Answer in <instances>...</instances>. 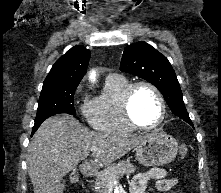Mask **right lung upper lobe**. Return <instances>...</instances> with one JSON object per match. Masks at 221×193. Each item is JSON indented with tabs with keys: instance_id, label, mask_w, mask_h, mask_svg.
Wrapping results in <instances>:
<instances>
[{
	"instance_id": "obj_1",
	"label": "right lung upper lobe",
	"mask_w": 221,
	"mask_h": 193,
	"mask_svg": "<svg viewBox=\"0 0 221 193\" xmlns=\"http://www.w3.org/2000/svg\"><path fill=\"white\" fill-rule=\"evenodd\" d=\"M90 51L74 46L52 66L43 83V88L78 86L87 71Z\"/></svg>"
}]
</instances>
